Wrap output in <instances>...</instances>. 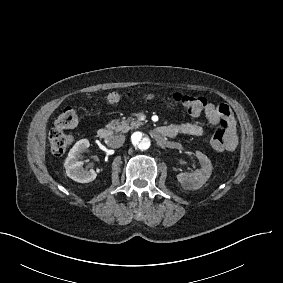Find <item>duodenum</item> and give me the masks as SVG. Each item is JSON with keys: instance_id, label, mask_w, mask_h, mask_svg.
Instances as JSON below:
<instances>
[{"instance_id": "410a0bca", "label": "duodenum", "mask_w": 283, "mask_h": 283, "mask_svg": "<svg viewBox=\"0 0 283 283\" xmlns=\"http://www.w3.org/2000/svg\"><path fill=\"white\" fill-rule=\"evenodd\" d=\"M152 132L155 135H158V136H161V137H172L173 136V132L165 126L154 127L152 129ZM111 135H112V131L107 127H101L97 131V136L100 139H107Z\"/></svg>"}]
</instances>
